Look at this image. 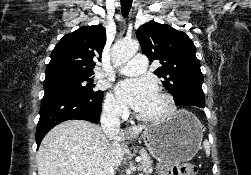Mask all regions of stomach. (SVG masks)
<instances>
[{"mask_svg":"<svg viewBox=\"0 0 251 175\" xmlns=\"http://www.w3.org/2000/svg\"><path fill=\"white\" fill-rule=\"evenodd\" d=\"M204 127L191 111L180 109L167 121L147 125L140 135L148 151L162 163L190 161L201 147Z\"/></svg>","mask_w":251,"mask_h":175,"instance_id":"0dacf381","label":"stomach"}]
</instances>
